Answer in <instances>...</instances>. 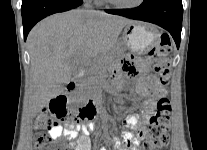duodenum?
I'll return each instance as SVG.
<instances>
[{
  "label": "duodenum",
  "mask_w": 207,
  "mask_h": 150,
  "mask_svg": "<svg viewBox=\"0 0 207 150\" xmlns=\"http://www.w3.org/2000/svg\"><path fill=\"white\" fill-rule=\"evenodd\" d=\"M78 88V82L76 80L71 81L67 85V90L74 91ZM83 112H94L95 111V102L89 101L82 109Z\"/></svg>",
  "instance_id": "obj_1"
}]
</instances>
